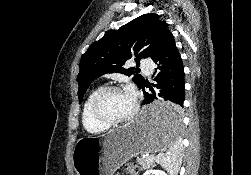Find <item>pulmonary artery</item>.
<instances>
[{
	"label": "pulmonary artery",
	"instance_id": "1",
	"mask_svg": "<svg viewBox=\"0 0 251 175\" xmlns=\"http://www.w3.org/2000/svg\"><path fill=\"white\" fill-rule=\"evenodd\" d=\"M153 67H154V62H151L150 58H143L142 59V62H141L142 75L151 74Z\"/></svg>",
	"mask_w": 251,
	"mask_h": 175
}]
</instances>
